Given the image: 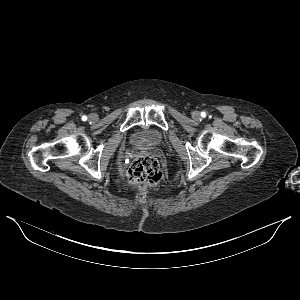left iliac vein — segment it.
I'll use <instances>...</instances> for the list:
<instances>
[{
  "label": "left iliac vein",
  "mask_w": 300,
  "mask_h": 300,
  "mask_svg": "<svg viewBox=\"0 0 300 300\" xmlns=\"http://www.w3.org/2000/svg\"><path fill=\"white\" fill-rule=\"evenodd\" d=\"M192 117H193L194 120H198L200 118L199 112H194Z\"/></svg>",
  "instance_id": "left-iliac-vein-1"
}]
</instances>
